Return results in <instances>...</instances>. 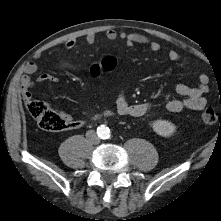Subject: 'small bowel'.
I'll return each mask as SVG.
<instances>
[{"label":"small bowel","mask_w":221,"mask_h":221,"mask_svg":"<svg viewBox=\"0 0 221 221\" xmlns=\"http://www.w3.org/2000/svg\"><path fill=\"white\" fill-rule=\"evenodd\" d=\"M106 39L109 41H115L118 38L124 40V42L128 46H133L135 44H144L147 45L148 48L152 52H159L161 51V45L155 41H151L148 37L138 33H122L118 34L113 29H107L104 32ZM97 40V37L94 33H88L85 36V41L87 44H94ZM76 45L75 39H69L65 42L66 49H72ZM168 58L171 61H179L180 55L175 50H169L167 53ZM60 67L63 69L80 72L81 69L76 65L66 61L61 60L59 62ZM91 67V66H90ZM89 67V72H90ZM37 71V64L34 62H28L24 65V74L21 78V92L23 99L27 102L29 99L32 98L30 89L35 85L43 82H52L58 83L59 78L50 74V73H42L38 75L35 79H32L31 75L36 73ZM208 82L209 78L206 74H200L198 76V85L197 86H190L185 83H180L176 86V93L182 96V99H172L167 103V109L172 113L181 112L184 109H189L193 111H200L205 108L207 105L206 98L204 94L208 90ZM150 109V104L146 102L132 104L129 103L126 95L123 91H120L116 98V110L120 115L123 116H130V117H142L145 115ZM63 117L68 122V128H77L81 126V122L74 120L71 115L67 113H63Z\"/></svg>","instance_id":"obj_1"}]
</instances>
